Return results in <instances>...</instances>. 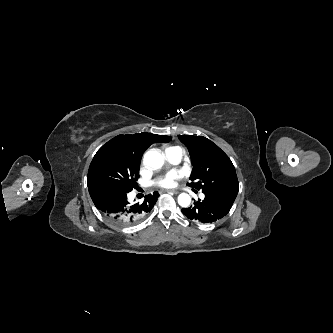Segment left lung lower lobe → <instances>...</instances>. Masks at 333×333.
<instances>
[{
	"mask_svg": "<svg viewBox=\"0 0 333 333\" xmlns=\"http://www.w3.org/2000/svg\"><path fill=\"white\" fill-rule=\"evenodd\" d=\"M235 198L214 194H205L203 201L194 202L188 208H182V213L191 220L202 223H212L223 218L231 209Z\"/></svg>",
	"mask_w": 333,
	"mask_h": 333,
	"instance_id": "0a47b994",
	"label": "left lung lower lobe"
}]
</instances>
